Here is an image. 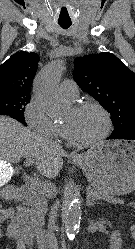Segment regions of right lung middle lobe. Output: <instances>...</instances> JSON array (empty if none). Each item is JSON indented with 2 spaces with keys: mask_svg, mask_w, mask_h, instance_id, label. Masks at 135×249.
<instances>
[{
  "mask_svg": "<svg viewBox=\"0 0 135 249\" xmlns=\"http://www.w3.org/2000/svg\"><path fill=\"white\" fill-rule=\"evenodd\" d=\"M30 98L26 93L0 92V115L12 116L26 125L24 110Z\"/></svg>",
  "mask_w": 135,
  "mask_h": 249,
  "instance_id": "1",
  "label": "right lung middle lobe"
}]
</instances>
